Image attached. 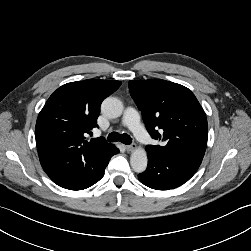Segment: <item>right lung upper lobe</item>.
Segmentation results:
<instances>
[{
    "instance_id": "obj_1",
    "label": "right lung upper lobe",
    "mask_w": 251,
    "mask_h": 251,
    "mask_svg": "<svg viewBox=\"0 0 251 251\" xmlns=\"http://www.w3.org/2000/svg\"><path fill=\"white\" fill-rule=\"evenodd\" d=\"M120 81L88 79L59 87L47 100L36 122V145L47 175L81 172L102 158L113 145L103 137L85 140L97 127L102 101Z\"/></svg>"
}]
</instances>
